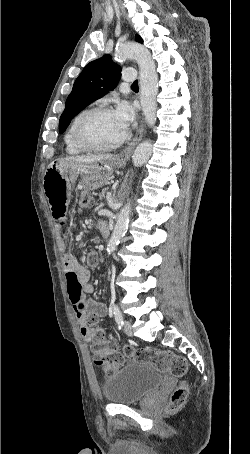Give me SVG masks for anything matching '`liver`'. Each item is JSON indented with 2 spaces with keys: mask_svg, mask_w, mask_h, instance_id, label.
<instances>
[{
  "mask_svg": "<svg viewBox=\"0 0 250 454\" xmlns=\"http://www.w3.org/2000/svg\"><path fill=\"white\" fill-rule=\"evenodd\" d=\"M113 156L111 154L106 155H83V156H70L63 158L61 162H65L71 165H87L92 164L99 161H104L111 159Z\"/></svg>",
  "mask_w": 250,
  "mask_h": 454,
  "instance_id": "obj_1",
  "label": "liver"
}]
</instances>
